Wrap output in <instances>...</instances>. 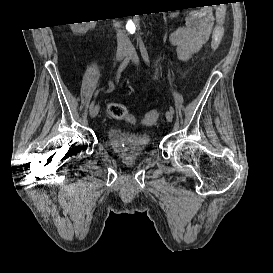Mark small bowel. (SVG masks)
<instances>
[{
  "instance_id": "small-bowel-1",
  "label": "small bowel",
  "mask_w": 273,
  "mask_h": 273,
  "mask_svg": "<svg viewBox=\"0 0 273 273\" xmlns=\"http://www.w3.org/2000/svg\"><path fill=\"white\" fill-rule=\"evenodd\" d=\"M223 15L208 11H195L185 18V25L169 34L170 44L177 45L181 61L190 60L209 40L217 27H221Z\"/></svg>"
}]
</instances>
